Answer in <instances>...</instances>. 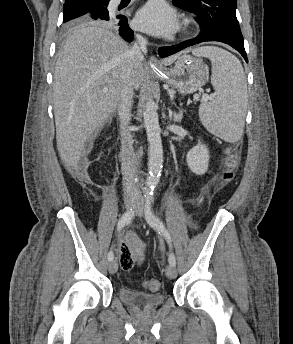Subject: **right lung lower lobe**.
Masks as SVG:
<instances>
[{
    "instance_id": "1",
    "label": "right lung lower lobe",
    "mask_w": 293,
    "mask_h": 344,
    "mask_svg": "<svg viewBox=\"0 0 293 344\" xmlns=\"http://www.w3.org/2000/svg\"><path fill=\"white\" fill-rule=\"evenodd\" d=\"M109 0L104 5H99L86 14V17L90 20H105L109 21L110 25L117 26L120 36L127 41H131L133 38V31L128 26L127 18L123 15L112 16L107 9Z\"/></svg>"
}]
</instances>
